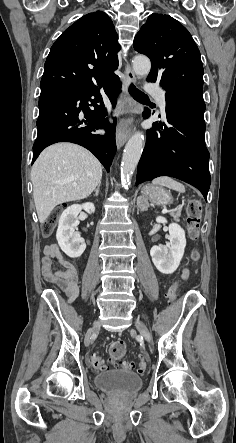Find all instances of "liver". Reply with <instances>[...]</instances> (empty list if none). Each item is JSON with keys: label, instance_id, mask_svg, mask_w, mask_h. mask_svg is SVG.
<instances>
[{"label": "liver", "instance_id": "obj_1", "mask_svg": "<svg viewBox=\"0 0 236 443\" xmlns=\"http://www.w3.org/2000/svg\"><path fill=\"white\" fill-rule=\"evenodd\" d=\"M102 165L85 148L57 143L46 148L31 169L33 198L43 224L60 203L87 198L101 183Z\"/></svg>", "mask_w": 236, "mask_h": 443}]
</instances>
